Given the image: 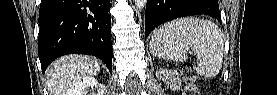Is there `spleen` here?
Here are the masks:
<instances>
[{"label": "spleen", "mask_w": 277, "mask_h": 95, "mask_svg": "<svg viewBox=\"0 0 277 95\" xmlns=\"http://www.w3.org/2000/svg\"><path fill=\"white\" fill-rule=\"evenodd\" d=\"M189 47L197 57L200 73L215 77L222 68L224 39L213 22L195 17L168 22L154 32L149 44L152 55L173 62L186 61Z\"/></svg>", "instance_id": "3e777b00"}]
</instances>
